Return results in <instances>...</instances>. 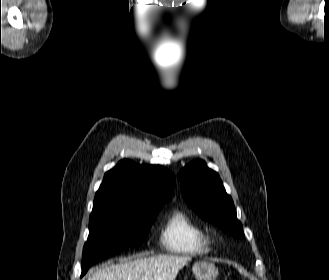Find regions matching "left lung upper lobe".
I'll list each match as a JSON object with an SVG mask.
<instances>
[{
    "instance_id": "5c2ea615",
    "label": "left lung upper lobe",
    "mask_w": 329,
    "mask_h": 280,
    "mask_svg": "<svg viewBox=\"0 0 329 280\" xmlns=\"http://www.w3.org/2000/svg\"><path fill=\"white\" fill-rule=\"evenodd\" d=\"M181 192L189 207L223 231L244 238L232 198L226 193L219 175L204 161L195 160L178 173Z\"/></svg>"
}]
</instances>
